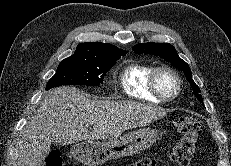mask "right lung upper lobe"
<instances>
[{
	"label": "right lung upper lobe",
	"instance_id": "1",
	"mask_svg": "<svg viewBox=\"0 0 231 166\" xmlns=\"http://www.w3.org/2000/svg\"><path fill=\"white\" fill-rule=\"evenodd\" d=\"M125 52L127 51L121 50L110 43L104 44L101 42H86L80 43L77 46L74 55L100 58L105 55H113Z\"/></svg>",
	"mask_w": 231,
	"mask_h": 166
}]
</instances>
